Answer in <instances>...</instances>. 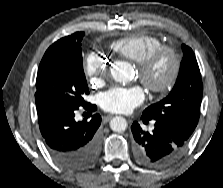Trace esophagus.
Returning a JSON list of instances; mask_svg holds the SVG:
<instances>
[{
    "label": "esophagus",
    "instance_id": "34e87169",
    "mask_svg": "<svg viewBox=\"0 0 223 188\" xmlns=\"http://www.w3.org/2000/svg\"><path fill=\"white\" fill-rule=\"evenodd\" d=\"M112 117H113L112 115L104 116V117H103V120L107 122V121H109Z\"/></svg>",
    "mask_w": 223,
    "mask_h": 188
}]
</instances>
